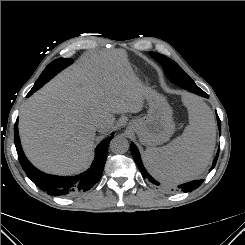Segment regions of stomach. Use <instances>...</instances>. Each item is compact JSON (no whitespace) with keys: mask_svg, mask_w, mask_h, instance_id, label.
Masks as SVG:
<instances>
[{"mask_svg":"<svg viewBox=\"0 0 245 245\" xmlns=\"http://www.w3.org/2000/svg\"><path fill=\"white\" fill-rule=\"evenodd\" d=\"M146 99L149 105L147 115L132 120L128 128L138 135L142 144L153 147L169 140L175 125L172 109L162 95L148 88Z\"/></svg>","mask_w":245,"mask_h":245,"instance_id":"obj_1","label":"stomach"}]
</instances>
